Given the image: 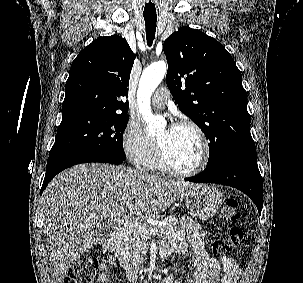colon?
<instances>
[{"label": "colon", "instance_id": "obj_1", "mask_svg": "<svg viewBox=\"0 0 303 283\" xmlns=\"http://www.w3.org/2000/svg\"><path fill=\"white\" fill-rule=\"evenodd\" d=\"M224 224H236L240 220V210L235 199L225 202L220 213ZM244 233L241 228L233 226L229 234L212 244V248L218 253H236L243 241ZM99 260L96 254H88L70 269L63 283H94Z\"/></svg>", "mask_w": 303, "mask_h": 283}]
</instances>
